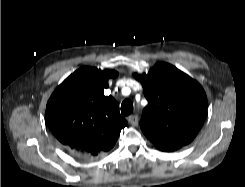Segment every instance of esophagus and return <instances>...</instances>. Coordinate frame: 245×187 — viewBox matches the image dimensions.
<instances>
[{
  "label": "esophagus",
  "mask_w": 245,
  "mask_h": 187,
  "mask_svg": "<svg viewBox=\"0 0 245 187\" xmlns=\"http://www.w3.org/2000/svg\"><path fill=\"white\" fill-rule=\"evenodd\" d=\"M128 122L132 125V126H137L138 125V116L137 115H131L128 117Z\"/></svg>",
  "instance_id": "esophagus-1"
}]
</instances>
